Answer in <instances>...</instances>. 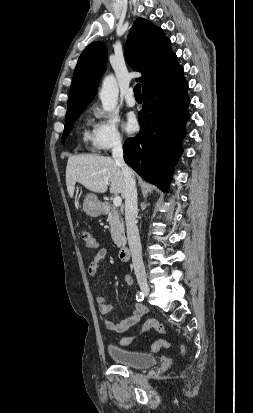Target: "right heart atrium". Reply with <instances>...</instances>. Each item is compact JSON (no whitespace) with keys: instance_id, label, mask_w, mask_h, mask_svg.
Masks as SVG:
<instances>
[{"instance_id":"obj_1","label":"right heart atrium","mask_w":253,"mask_h":413,"mask_svg":"<svg viewBox=\"0 0 253 413\" xmlns=\"http://www.w3.org/2000/svg\"><path fill=\"white\" fill-rule=\"evenodd\" d=\"M94 116L96 117L92 131L94 147L104 152L120 147L124 138L119 129L118 119L113 114L100 109H94Z\"/></svg>"}]
</instances>
